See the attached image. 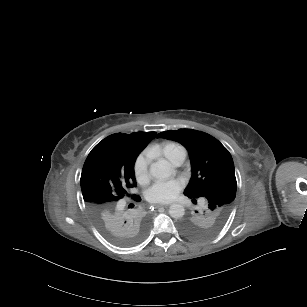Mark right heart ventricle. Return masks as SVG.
<instances>
[{
  "mask_svg": "<svg viewBox=\"0 0 307 307\" xmlns=\"http://www.w3.org/2000/svg\"><path fill=\"white\" fill-rule=\"evenodd\" d=\"M168 148H173V149H183L186 151V148L182 145H180L178 142H172L170 143ZM187 152V151H186Z\"/></svg>",
  "mask_w": 307,
  "mask_h": 307,
  "instance_id": "1",
  "label": "right heart ventricle"
}]
</instances>
